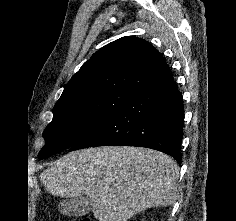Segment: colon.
Returning <instances> with one entry per match:
<instances>
[{"mask_svg":"<svg viewBox=\"0 0 236 221\" xmlns=\"http://www.w3.org/2000/svg\"><path fill=\"white\" fill-rule=\"evenodd\" d=\"M78 221H91L90 219H88V218H83V219H81V220H78Z\"/></svg>","mask_w":236,"mask_h":221,"instance_id":"1","label":"colon"}]
</instances>
